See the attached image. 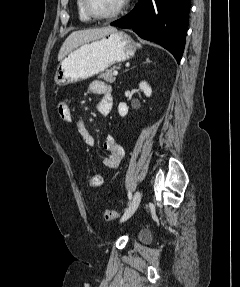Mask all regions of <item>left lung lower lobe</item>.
I'll list each match as a JSON object with an SVG mask.
<instances>
[{
  "label": "left lung lower lobe",
  "mask_w": 240,
  "mask_h": 287,
  "mask_svg": "<svg viewBox=\"0 0 240 287\" xmlns=\"http://www.w3.org/2000/svg\"><path fill=\"white\" fill-rule=\"evenodd\" d=\"M191 0H139L134 9L110 25L131 28L141 38L156 42L179 63L186 39Z\"/></svg>",
  "instance_id": "left-lung-lower-lobe-1"
}]
</instances>
